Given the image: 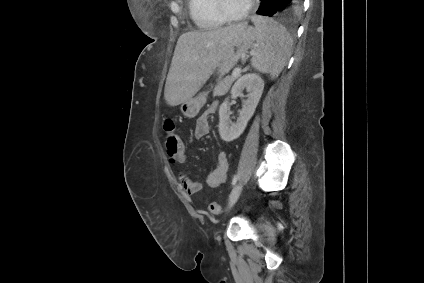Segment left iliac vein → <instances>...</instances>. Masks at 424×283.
I'll return each mask as SVG.
<instances>
[{"instance_id":"obj_1","label":"left iliac vein","mask_w":424,"mask_h":283,"mask_svg":"<svg viewBox=\"0 0 424 283\" xmlns=\"http://www.w3.org/2000/svg\"><path fill=\"white\" fill-rule=\"evenodd\" d=\"M242 191V185L238 184L234 187V189L232 190L231 194L229 195V201H228V209H230L235 202L237 201V199L239 198L240 194Z\"/></svg>"}]
</instances>
